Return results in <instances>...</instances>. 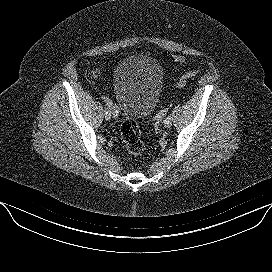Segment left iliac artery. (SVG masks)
Segmentation results:
<instances>
[{"mask_svg":"<svg viewBox=\"0 0 272 272\" xmlns=\"http://www.w3.org/2000/svg\"><path fill=\"white\" fill-rule=\"evenodd\" d=\"M167 119H172V114H167Z\"/></svg>","mask_w":272,"mask_h":272,"instance_id":"1","label":"left iliac artery"}]
</instances>
